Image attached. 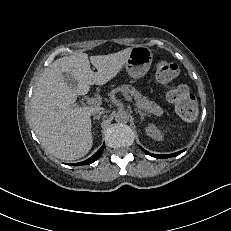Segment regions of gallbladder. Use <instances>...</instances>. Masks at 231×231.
Returning a JSON list of instances; mask_svg holds the SVG:
<instances>
[{
    "label": "gallbladder",
    "instance_id": "1",
    "mask_svg": "<svg viewBox=\"0 0 231 231\" xmlns=\"http://www.w3.org/2000/svg\"><path fill=\"white\" fill-rule=\"evenodd\" d=\"M61 77L63 79H65V82L71 87L73 88V90L75 92H78L80 90V87L77 85V81L76 79L72 76L71 73H66V72H63L61 74Z\"/></svg>",
    "mask_w": 231,
    "mask_h": 231
}]
</instances>
